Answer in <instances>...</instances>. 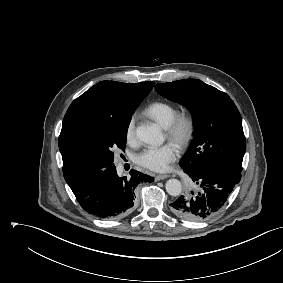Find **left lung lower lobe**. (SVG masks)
<instances>
[{"label":"left lung lower lobe","instance_id":"1","mask_svg":"<svg viewBox=\"0 0 283 283\" xmlns=\"http://www.w3.org/2000/svg\"><path fill=\"white\" fill-rule=\"evenodd\" d=\"M183 170L190 177L193 190L181 195L170 208L176 216L188 221H203L215 215L241 179L240 172L223 167Z\"/></svg>","mask_w":283,"mask_h":283}]
</instances>
